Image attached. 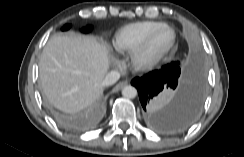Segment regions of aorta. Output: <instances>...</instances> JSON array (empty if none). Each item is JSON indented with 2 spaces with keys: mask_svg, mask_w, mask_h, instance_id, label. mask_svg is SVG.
Segmentation results:
<instances>
[{
  "mask_svg": "<svg viewBox=\"0 0 244 157\" xmlns=\"http://www.w3.org/2000/svg\"><path fill=\"white\" fill-rule=\"evenodd\" d=\"M122 95L126 98H135L137 95V90L131 85H127L122 89Z\"/></svg>",
  "mask_w": 244,
  "mask_h": 157,
  "instance_id": "aorta-1",
  "label": "aorta"
}]
</instances>
